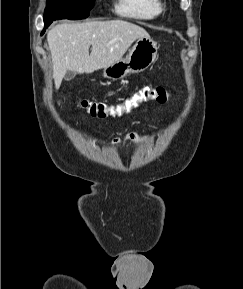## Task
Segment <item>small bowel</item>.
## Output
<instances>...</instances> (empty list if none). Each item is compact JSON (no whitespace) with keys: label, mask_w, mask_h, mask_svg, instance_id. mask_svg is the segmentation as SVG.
Listing matches in <instances>:
<instances>
[{"label":"small bowel","mask_w":243,"mask_h":289,"mask_svg":"<svg viewBox=\"0 0 243 289\" xmlns=\"http://www.w3.org/2000/svg\"><path fill=\"white\" fill-rule=\"evenodd\" d=\"M147 111L143 109L141 112ZM151 138L149 135L140 134L137 132H130L126 133L123 136H117L112 139V141L119 145L120 150L124 151L126 144H137L146 141L147 139Z\"/></svg>","instance_id":"c3829d8e"}]
</instances>
